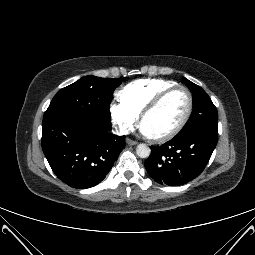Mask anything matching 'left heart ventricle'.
Wrapping results in <instances>:
<instances>
[{
    "label": "left heart ventricle",
    "mask_w": 255,
    "mask_h": 255,
    "mask_svg": "<svg viewBox=\"0 0 255 255\" xmlns=\"http://www.w3.org/2000/svg\"><path fill=\"white\" fill-rule=\"evenodd\" d=\"M188 106L187 94L177 90L150 113L143 122L152 136L163 135L175 128L182 120Z\"/></svg>",
    "instance_id": "1"
}]
</instances>
